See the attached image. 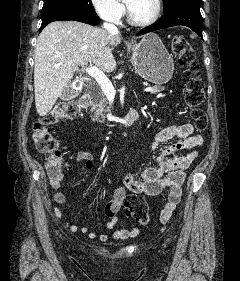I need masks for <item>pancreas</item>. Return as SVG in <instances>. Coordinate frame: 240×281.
<instances>
[{
	"instance_id": "cf45deb5",
	"label": "pancreas",
	"mask_w": 240,
	"mask_h": 281,
	"mask_svg": "<svg viewBox=\"0 0 240 281\" xmlns=\"http://www.w3.org/2000/svg\"><path fill=\"white\" fill-rule=\"evenodd\" d=\"M165 90V87H159L155 86L153 91H151L152 94H156L158 92H162ZM93 121H98L100 123H103L105 121V113L107 112V99L105 94L102 90L98 89L95 93H93Z\"/></svg>"
}]
</instances>
